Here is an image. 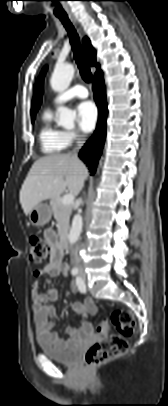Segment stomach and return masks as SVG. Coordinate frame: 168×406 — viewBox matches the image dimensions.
Masks as SVG:
<instances>
[{"label": "stomach", "mask_w": 168, "mask_h": 406, "mask_svg": "<svg viewBox=\"0 0 168 406\" xmlns=\"http://www.w3.org/2000/svg\"><path fill=\"white\" fill-rule=\"evenodd\" d=\"M51 207L47 204H38L29 213V220L34 226H43L51 219Z\"/></svg>", "instance_id": "obj_1"}]
</instances>
